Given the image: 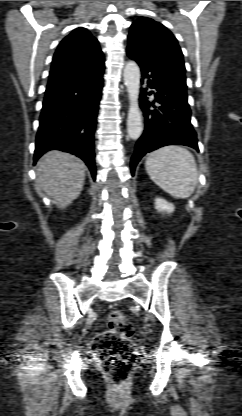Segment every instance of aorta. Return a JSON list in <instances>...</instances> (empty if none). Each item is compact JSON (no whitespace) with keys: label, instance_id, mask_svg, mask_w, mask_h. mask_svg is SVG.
I'll list each match as a JSON object with an SVG mask.
<instances>
[{"label":"aorta","instance_id":"1","mask_svg":"<svg viewBox=\"0 0 242 416\" xmlns=\"http://www.w3.org/2000/svg\"><path fill=\"white\" fill-rule=\"evenodd\" d=\"M123 77L130 100L127 117V133L131 139L136 140L141 136L143 131L142 116L138 103L140 90V68L136 62H127L124 68Z\"/></svg>","mask_w":242,"mask_h":416}]
</instances>
